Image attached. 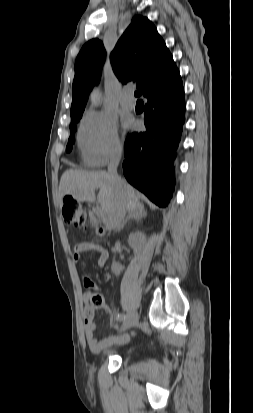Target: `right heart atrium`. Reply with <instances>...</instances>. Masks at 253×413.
Returning <instances> with one entry per match:
<instances>
[{
    "instance_id": "1",
    "label": "right heart atrium",
    "mask_w": 253,
    "mask_h": 413,
    "mask_svg": "<svg viewBox=\"0 0 253 413\" xmlns=\"http://www.w3.org/2000/svg\"><path fill=\"white\" fill-rule=\"evenodd\" d=\"M84 161L91 167H102L119 156L121 142L116 120L105 113L89 111L78 133Z\"/></svg>"
}]
</instances>
